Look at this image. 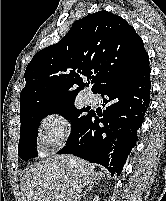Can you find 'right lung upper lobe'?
<instances>
[{
    "label": "right lung upper lobe",
    "mask_w": 166,
    "mask_h": 201,
    "mask_svg": "<svg viewBox=\"0 0 166 201\" xmlns=\"http://www.w3.org/2000/svg\"><path fill=\"white\" fill-rule=\"evenodd\" d=\"M145 54L142 39L120 16L104 10L89 14L75 21L58 43L37 52L27 65L20 115L73 102L85 78L95 93Z\"/></svg>",
    "instance_id": "cb5924a9"
}]
</instances>
